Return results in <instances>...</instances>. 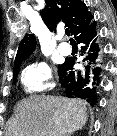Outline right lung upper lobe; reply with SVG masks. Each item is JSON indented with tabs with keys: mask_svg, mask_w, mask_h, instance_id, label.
Returning a JSON list of instances; mask_svg holds the SVG:
<instances>
[{
	"mask_svg": "<svg viewBox=\"0 0 117 136\" xmlns=\"http://www.w3.org/2000/svg\"><path fill=\"white\" fill-rule=\"evenodd\" d=\"M45 2L46 6L41 11V17L50 31H53L56 24L62 21L76 38L93 19L86 5L80 0H45ZM35 47V36L26 34L19 44L14 68L20 67L21 63L35 50Z\"/></svg>",
	"mask_w": 117,
	"mask_h": 136,
	"instance_id": "right-lung-upper-lobe-1",
	"label": "right lung upper lobe"
}]
</instances>
